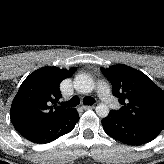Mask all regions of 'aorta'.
Returning <instances> with one entry per match:
<instances>
[{
    "label": "aorta",
    "mask_w": 164,
    "mask_h": 164,
    "mask_svg": "<svg viewBox=\"0 0 164 164\" xmlns=\"http://www.w3.org/2000/svg\"><path fill=\"white\" fill-rule=\"evenodd\" d=\"M75 88L81 93H90L95 89V83L90 76L82 74L76 77ZM96 113L99 116H107L109 107L105 103H100L96 106Z\"/></svg>",
    "instance_id": "obj_1"
}]
</instances>
